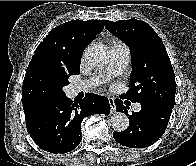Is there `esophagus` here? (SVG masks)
I'll use <instances>...</instances> for the list:
<instances>
[{
	"mask_svg": "<svg viewBox=\"0 0 196 166\" xmlns=\"http://www.w3.org/2000/svg\"><path fill=\"white\" fill-rule=\"evenodd\" d=\"M108 100H109L110 107H111V113L113 114L116 111V105L114 103V98L109 97Z\"/></svg>",
	"mask_w": 196,
	"mask_h": 166,
	"instance_id": "34e87169",
	"label": "esophagus"
}]
</instances>
